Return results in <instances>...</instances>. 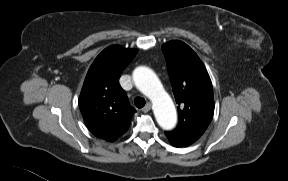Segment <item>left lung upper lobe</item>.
Listing matches in <instances>:
<instances>
[{
    "mask_svg": "<svg viewBox=\"0 0 288 181\" xmlns=\"http://www.w3.org/2000/svg\"><path fill=\"white\" fill-rule=\"evenodd\" d=\"M178 106V133L203 134L214 114L213 87L197 54L181 41L162 45Z\"/></svg>",
    "mask_w": 288,
    "mask_h": 181,
    "instance_id": "5c2ea615",
    "label": "left lung upper lobe"
}]
</instances>
